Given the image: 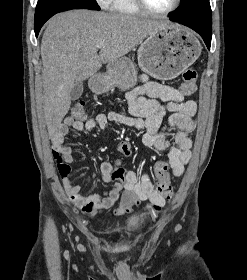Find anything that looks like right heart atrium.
I'll return each mask as SVG.
<instances>
[{"label":"right heart atrium","mask_w":247,"mask_h":280,"mask_svg":"<svg viewBox=\"0 0 247 280\" xmlns=\"http://www.w3.org/2000/svg\"><path fill=\"white\" fill-rule=\"evenodd\" d=\"M101 7H108L111 0H96Z\"/></svg>","instance_id":"d8ad5b80"}]
</instances>
